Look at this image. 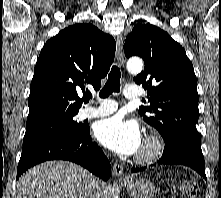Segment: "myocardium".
Wrapping results in <instances>:
<instances>
[{"mask_svg": "<svg viewBox=\"0 0 221 198\" xmlns=\"http://www.w3.org/2000/svg\"><path fill=\"white\" fill-rule=\"evenodd\" d=\"M164 150L162 138L155 132H148L144 136L140 150L134 160L138 164H150L158 159Z\"/></svg>", "mask_w": 221, "mask_h": 198, "instance_id": "myocardium-1", "label": "myocardium"}]
</instances>
